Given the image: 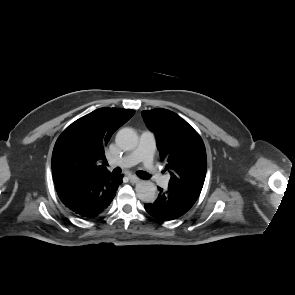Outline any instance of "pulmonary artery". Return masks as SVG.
<instances>
[{
	"instance_id": "e3ab8cb5",
	"label": "pulmonary artery",
	"mask_w": 295,
	"mask_h": 295,
	"mask_svg": "<svg viewBox=\"0 0 295 295\" xmlns=\"http://www.w3.org/2000/svg\"><path fill=\"white\" fill-rule=\"evenodd\" d=\"M154 151L155 138L153 133L150 131H143L140 135L137 148L121 159L112 161V163L121 167H131L139 162H142L145 169L151 175V178L160 186H166L168 183V177L162 175L154 165Z\"/></svg>"
}]
</instances>
